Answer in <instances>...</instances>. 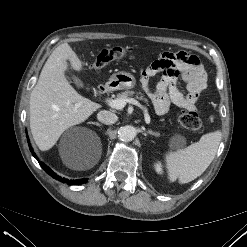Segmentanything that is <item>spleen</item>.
<instances>
[{
  "instance_id": "spleen-1",
  "label": "spleen",
  "mask_w": 247,
  "mask_h": 247,
  "mask_svg": "<svg viewBox=\"0 0 247 247\" xmlns=\"http://www.w3.org/2000/svg\"><path fill=\"white\" fill-rule=\"evenodd\" d=\"M221 131L204 134L190 146L165 154L166 168L170 181L181 184L199 177L213 161L221 141Z\"/></svg>"
}]
</instances>
